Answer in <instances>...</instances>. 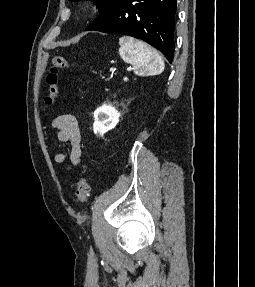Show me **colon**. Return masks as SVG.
Segmentation results:
<instances>
[{
    "mask_svg": "<svg viewBox=\"0 0 255 287\" xmlns=\"http://www.w3.org/2000/svg\"><path fill=\"white\" fill-rule=\"evenodd\" d=\"M67 59L63 56L57 55L52 59V65L50 71L46 77V83L48 86V94L45 98V102L48 105L54 103L58 94V72L60 70L69 68ZM76 195L79 201L86 202L90 196V186L86 177H82L76 188Z\"/></svg>",
    "mask_w": 255,
    "mask_h": 287,
    "instance_id": "5ec220e1",
    "label": "colon"
}]
</instances>
